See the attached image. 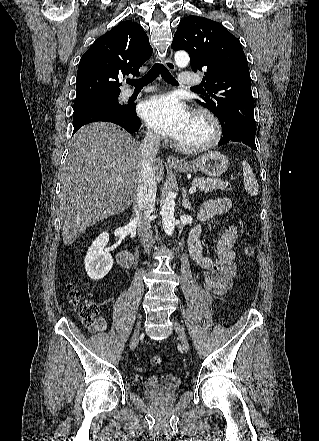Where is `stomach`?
Instances as JSON below:
<instances>
[{"instance_id":"obj_1","label":"stomach","mask_w":319,"mask_h":441,"mask_svg":"<svg viewBox=\"0 0 319 441\" xmlns=\"http://www.w3.org/2000/svg\"><path fill=\"white\" fill-rule=\"evenodd\" d=\"M228 168V159L225 155L210 151L198 157L196 160L187 162L182 167L173 169L182 173L201 171L210 177H219Z\"/></svg>"}]
</instances>
